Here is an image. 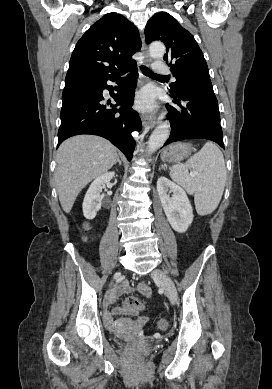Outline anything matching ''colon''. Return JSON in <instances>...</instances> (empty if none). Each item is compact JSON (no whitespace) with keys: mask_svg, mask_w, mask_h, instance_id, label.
<instances>
[{"mask_svg":"<svg viewBox=\"0 0 272 389\" xmlns=\"http://www.w3.org/2000/svg\"><path fill=\"white\" fill-rule=\"evenodd\" d=\"M144 309V305L135 297H127L123 302V310L129 314H137ZM160 330H166L168 322L166 319H160L157 322Z\"/></svg>","mask_w":272,"mask_h":389,"instance_id":"5ec220e1","label":"colon"}]
</instances>
